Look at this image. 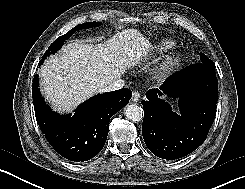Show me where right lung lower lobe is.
<instances>
[{
    "label": "right lung lower lobe",
    "instance_id": "98d812e1",
    "mask_svg": "<svg viewBox=\"0 0 245 189\" xmlns=\"http://www.w3.org/2000/svg\"><path fill=\"white\" fill-rule=\"evenodd\" d=\"M38 83L35 75L32 97L38 125L54 150L75 162L88 161L102 150L111 116L120 111L132 95L127 88L95 95L82 103L74 115H59L41 97Z\"/></svg>",
    "mask_w": 245,
    "mask_h": 189
}]
</instances>
